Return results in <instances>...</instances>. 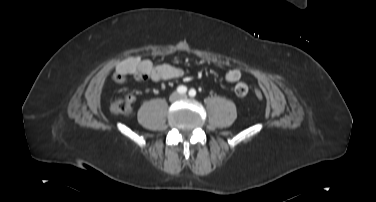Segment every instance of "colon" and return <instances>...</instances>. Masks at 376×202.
<instances>
[{
    "instance_id": "1",
    "label": "colon",
    "mask_w": 376,
    "mask_h": 202,
    "mask_svg": "<svg viewBox=\"0 0 376 202\" xmlns=\"http://www.w3.org/2000/svg\"><path fill=\"white\" fill-rule=\"evenodd\" d=\"M255 96L258 99L263 98V93L260 90L255 91ZM134 97L131 94L124 95L121 99L115 101L112 105V111L118 115H129L133 109Z\"/></svg>"
}]
</instances>
